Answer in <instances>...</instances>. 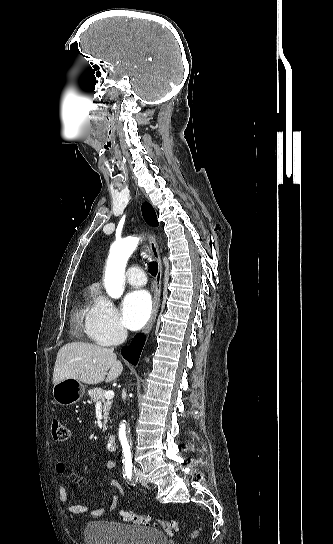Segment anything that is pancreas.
Instances as JSON below:
<instances>
[{
  "label": "pancreas",
  "mask_w": 333,
  "mask_h": 544,
  "mask_svg": "<svg viewBox=\"0 0 333 544\" xmlns=\"http://www.w3.org/2000/svg\"><path fill=\"white\" fill-rule=\"evenodd\" d=\"M88 395L93 402H97L98 400H102L103 402V412H104V418H105L103 431H105L107 429L106 423L108 419L109 410L111 408V400H106L105 391L101 388H94L89 390Z\"/></svg>",
  "instance_id": "1"
}]
</instances>
